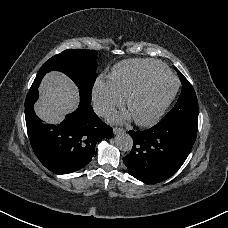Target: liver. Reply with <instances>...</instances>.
Wrapping results in <instances>:
<instances>
[{"label":"liver","instance_id":"liver-1","mask_svg":"<svg viewBox=\"0 0 228 228\" xmlns=\"http://www.w3.org/2000/svg\"><path fill=\"white\" fill-rule=\"evenodd\" d=\"M39 93L34 110L45 123L58 124L64 120L65 114L78 108V87L61 72L47 73L41 81Z\"/></svg>","mask_w":228,"mask_h":228}]
</instances>
